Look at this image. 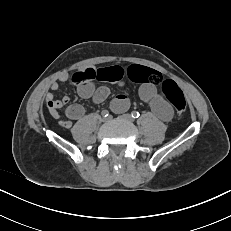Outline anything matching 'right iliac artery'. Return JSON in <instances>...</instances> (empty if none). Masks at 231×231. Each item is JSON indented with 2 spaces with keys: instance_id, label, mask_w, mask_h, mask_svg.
<instances>
[{
  "instance_id": "obj_1",
  "label": "right iliac artery",
  "mask_w": 231,
  "mask_h": 231,
  "mask_svg": "<svg viewBox=\"0 0 231 231\" xmlns=\"http://www.w3.org/2000/svg\"><path fill=\"white\" fill-rule=\"evenodd\" d=\"M101 114H102L103 117H107L109 115V111L108 110H103L101 112Z\"/></svg>"
}]
</instances>
